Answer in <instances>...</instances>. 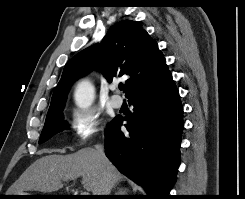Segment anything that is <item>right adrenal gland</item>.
<instances>
[{"label":"right adrenal gland","instance_id":"right-adrenal-gland-1","mask_svg":"<svg viewBox=\"0 0 245 199\" xmlns=\"http://www.w3.org/2000/svg\"><path fill=\"white\" fill-rule=\"evenodd\" d=\"M127 189L126 188H117V192L115 195H127Z\"/></svg>","mask_w":245,"mask_h":199}]
</instances>
